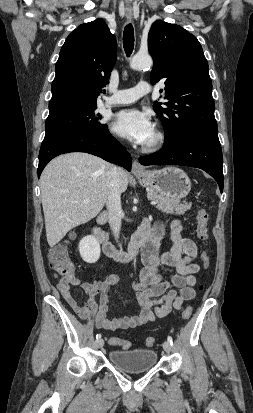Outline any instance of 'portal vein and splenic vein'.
Listing matches in <instances>:
<instances>
[{
	"label": "portal vein and splenic vein",
	"instance_id": "1",
	"mask_svg": "<svg viewBox=\"0 0 253 413\" xmlns=\"http://www.w3.org/2000/svg\"><path fill=\"white\" fill-rule=\"evenodd\" d=\"M84 202L87 203V202H89V200H84ZM156 204H157V202L155 200L151 201V205H156Z\"/></svg>",
	"mask_w": 253,
	"mask_h": 413
}]
</instances>
